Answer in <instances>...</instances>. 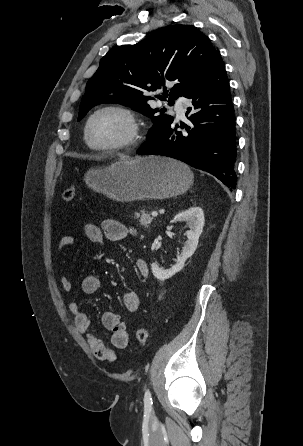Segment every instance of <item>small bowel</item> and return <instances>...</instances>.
<instances>
[{
	"instance_id": "c3829d8e",
	"label": "small bowel",
	"mask_w": 303,
	"mask_h": 446,
	"mask_svg": "<svg viewBox=\"0 0 303 446\" xmlns=\"http://www.w3.org/2000/svg\"><path fill=\"white\" fill-rule=\"evenodd\" d=\"M84 234L92 243H100L104 238L109 241L118 242L135 234V230L118 220L106 219L101 226L92 223L86 224L84 226ZM73 244L74 238L72 236H63L58 241V251L60 252L67 249ZM135 267L142 278H147L149 276V267L144 259L138 258L135 261ZM61 283L65 291H70L72 289V282L68 276L63 275L61 277ZM100 286L101 280L96 273L87 274L81 282V289L86 294L95 293L99 290ZM122 302L129 313H135L140 309V299L134 291H126L122 295ZM69 310L73 315L76 328L81 333H86L87 344L99 360L109 362L115 361L116 349H124L127 347L129 340L128 333L125 325L120 321V318L116 313L107 311L104 312L101 317L103 327L111 333L110 342L112 346L109 347L106 346L97 335L90 332V319L77 302H70Z\"/></svg>"
}]
</instances>
